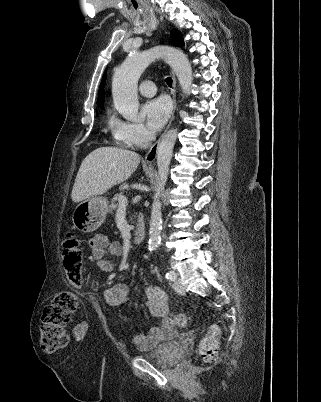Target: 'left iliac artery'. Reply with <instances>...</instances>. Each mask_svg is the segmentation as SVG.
<instances>
[{
	"mask_svg": "<svg viewBox=\"0 0 321 402\" xmlns=\"http://www.w3.org/2000/svg\"><path fill=\"white\" fill-rule=\"evenodd\" d=\"M165 277L166 279L173 281L175 279V273L173 271L168 272Z\"/></svg>",
	"mask_w": 321,
	"mask_h": 402,
	"instance_id": "44dca946",
	"label": "left iliac artery"
}]
</instances>
